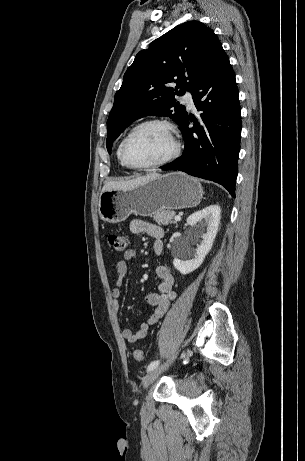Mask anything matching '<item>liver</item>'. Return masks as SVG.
<instances>
[{
  "mask_svg": "<svg viewBox=\"0 0 305 461\" xmlns=\"http://www.w3.org/2000/svg\"><path fill=\"white\" fill-rule=\"evenodd\" d=\"M157 173L147 174L146 176L137 177L131 180L111 181L104 184L101 193L109 190H122L134 188L138 185L144 184L152 179L159 177Z\"/></svg>",
  "mask_w": 305,
  "mask_h": 461,
  "instance_id": "obj_1",
  "label": "liver"
}]
</instances>
